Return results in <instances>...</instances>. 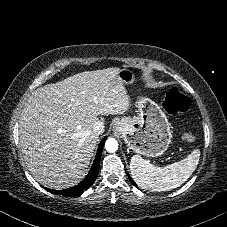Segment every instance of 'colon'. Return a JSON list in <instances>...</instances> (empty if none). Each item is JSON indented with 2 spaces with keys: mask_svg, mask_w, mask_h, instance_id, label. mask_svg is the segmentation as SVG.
Segmentation results:
<instances>
[{
  "mask_svg": "<svg viewBox=\"0 0 227 227\" xmlns=\"http://www.w3.org/2000/svg\"><path fill=\"white\" fill-rule=\"evenodd\" d=\"M190 101L177 88L170 89L164 99V107L170 114L184 113L189 109ZM182 138L185 141H193L194 135L190 131H184Z\"/></svg>",
  "mask_w": 227,
  "mask_h": 227,
  "instance_id": "obj_1",
  "label": "colon"
}]
</instances>
